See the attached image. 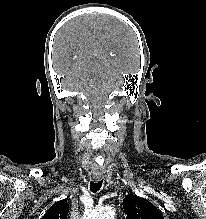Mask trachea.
Here are the masks:
<instances>
[{"mask_svg":"<svg viewBox=\"0 0 206 219\" xmlns=\"http://www.w3.org/2000/svg\"><path fill=\"white\" fill-rule=\"evenodd\" d=\"M101 187H102V180L101 181H97V182H94V181L90 182V190L93 193L98 192Z\"/></svg>","mask_w":206,"mask_h":219,"instance_id":"1","label":"trachea"}]
</instances>
